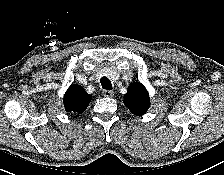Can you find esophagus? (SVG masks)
<instances>
[{
  "instance_id": "34e87169",
  "label": "esophagus",
  "mask_w": 224,
  "mask_h": 175,
  "mask_svg": "<svg viewBox=\"0 0 224 175\" xmlns=\"http://www.w3.org/2000/svg\"><path fill=\"white\" fill-rule=\"evenodd\" d=\"M102 96H104V97H113L114 96V92L113 91H109V90H104L103 92H102Z\"/></svg>"
}]
</instances>
